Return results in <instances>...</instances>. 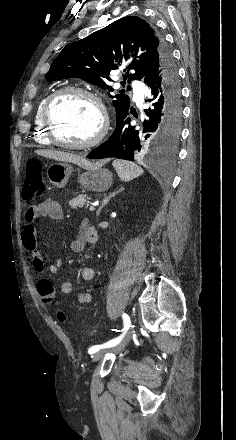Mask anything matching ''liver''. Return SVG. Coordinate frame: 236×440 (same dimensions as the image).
Here are the masks:
<instances>
[{
    "label": "liver",
    "mask_w": 236,
    "mask_h": 440,
    "mask_svg": "<svg viewBox=\"0 0 236 440\" xmlns=\"http://www.w3.org/2000/svg\"><path fill=\"white\" fill-rule=\"evenodd\" d=\"M36 153L38 155L44 156L46 158L54 159L56 161L74 163V164H77L83 168L101 166L103 163V162L91 163L90 161H87L86 159H84L76 154L62 152V151L40 149V150H37Z\"/></svg>",
    "instance_id": "liver-1"
}]
</instances>
